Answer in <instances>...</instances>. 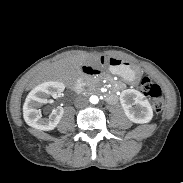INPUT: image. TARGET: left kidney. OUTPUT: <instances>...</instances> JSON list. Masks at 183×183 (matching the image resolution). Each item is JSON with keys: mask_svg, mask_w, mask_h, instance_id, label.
Segmentation results:
<instances>
[{"mask_svg": "<svg viewBox=\"0 0 183 183\" xmlns=\"http://www.w3.org/2000/svg\"><path fill=\"white\" fill-rule=\"evenodd\" d=\"M120 103L125 115L133 123L144 124L153 118V110L144 95L135 89L121 92Z\"/></svg>", "mask_w": 183, "mask_h": 183, "instance_id": "5707ae66", "label": "left kidney"}]
</instances>
